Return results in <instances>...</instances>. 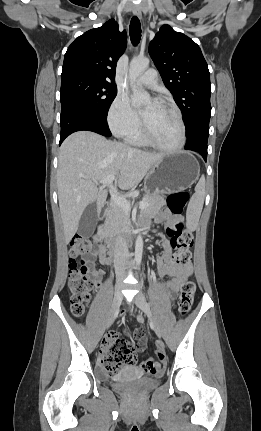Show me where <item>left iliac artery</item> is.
Instances as JSON below:
<instances>
[{"mask_svg": "<svg viewBox=\"0 0 261 431\" xmlns=\"http://www.w3.org/2000/svg\"><path fill=\"white\" fill-rule=\"evenodd\" d=\"M140 276H141V274H140ZM141 283H142V285H143V279L141 278Z\"/></svg>", "mask_w": 261, "mask_h": 431, "instance_id": "left-iliac-artery-1", "label": "left iliac artery"}]
</instances>
